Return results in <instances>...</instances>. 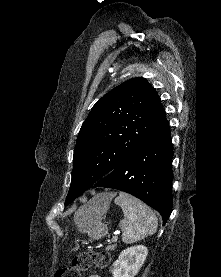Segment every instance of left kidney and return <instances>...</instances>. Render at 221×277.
Returning <instances> with one entry per match:
<instances>
[{
  "label": "left kidney",
  "mask_w": 221,
  "mask_h": 277,
  "mask_svg": "<svg viewBox=\"0 0 221 277\" xmlns=\"http://www.w3.org/2000/svg\"><path fill=\"white\" fill-rule=\"evenodd\" d=\"M148 254L147 247L136 245L123 250L113 263V277H134L144 264Z\"/></svg>",
  "instance_id": "5707ae66"
}]
</instances>
